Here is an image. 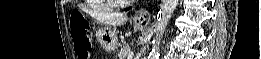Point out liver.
I'll use <instances>...</instances> for the list:
<instances>
[{
    "instance_id": "liver-1",
    "label": "liver",
    "mask_w": 261,
    "mask_h": 59,
    "mask_svg": "<svg viewBox=\"0 0 261 59\" xmlns=\"http://www.w3.org/2000/svg\"><path fill=\"white\" fill-rule=\"evenodd\" d=\"M95 18L102 24L114 27L120 26L128 20V17L121 13H97Z\"/></svg>"
}]
</instances>
